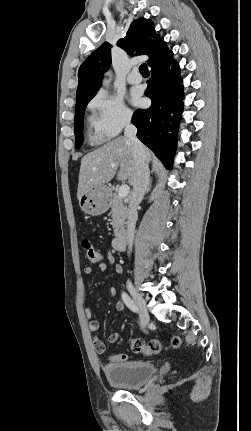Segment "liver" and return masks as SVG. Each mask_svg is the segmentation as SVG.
Wrapping results in <instances>:
<instances>
[{
    "instance_id": "obj_1",
    "label": "liver",
    "mask_w": 251,
    "mask_h": 431,
    "mask_svg": "<svg viewBox=\"0 0 251 431\" xmlns=\"http://www.w3.org/2000/svg\"><path fill=\"white\" fill-rule=\"evenodd\" d=\"M147 161L152 159L151 151L143 145ZM121 181L133 185L135 162L133 147L126 137H118L102 147L88 153L81 159L77 198L88 190L108 183L116 174Z\"/></svg>"
}]
</instances>
